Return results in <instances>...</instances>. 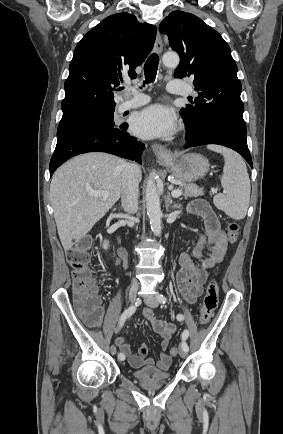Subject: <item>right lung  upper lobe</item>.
Masks as SVG:
<instances>
[{
    "label": "right lung upper lobe",
    "instance_id": "1",
    "mask_svg": "<svg viewBox=\"0 0 283 434\" xmlns=\"http://www.w3.org/2000/svg\"><path fill=\"white\" fill-rule=\"evenodd\" d=\"M156 27L140 23L128 13L111 15L91 29L77 44L65 81L62 118L115 109L113 91L151 51Z\"/></svg>",
    "mask_w": 283,
    "mask_h": 434
}]
</instances>
